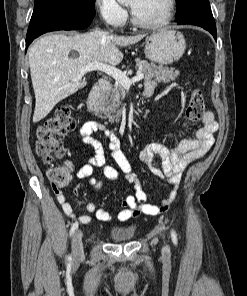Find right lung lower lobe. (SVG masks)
I'll return each mask as SVG.
<instances>
[{
	"label": "right lung lower lobe",
	"instance_id": "right-lung-lower-lobe-1",
	"mask_svg": "<svg viewBox=\"0 0 247 296\" xmlns=\"http://www.w3.org/2000/svg\"><path fill=\"white\" fill-rule=\"evenodd\" d=\"M95 13L70 15L64 8L57 7L30 20L26 36V50L30 43L43 33L57 30L84 29L90 25Z\"/></svg>",
	"mask_w": 247,
	"mask_h": 296
}]
</instances>
